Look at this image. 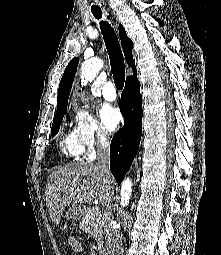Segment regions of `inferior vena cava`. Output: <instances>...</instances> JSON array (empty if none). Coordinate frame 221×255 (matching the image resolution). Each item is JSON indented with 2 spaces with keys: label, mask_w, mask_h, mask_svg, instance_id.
Wrapping results in <instances>:
<instances>
[{
  "label": "inferior vena cava",
  "mask_w": 221,
  "mask_h": 255,
  "mask_svg": "<svg viewBox=\"0 0 221 255\" xmlns=\"http://www.w3.org/2000/svg\"><path fill=\"white\" fill-rule=\"evenodd\" d=\"M98 167L110 176L109 169V142L105 136H102L99 140V146L97 149ZM108 207V210H110ZM114 221L109 211L105 214V227L104 234L106 240V255H123L122 240L120 232L113 228Z\"/></svg>",
  "instance_id": "1"
}]
</instances>
